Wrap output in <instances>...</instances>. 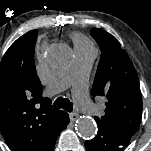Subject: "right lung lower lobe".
Instances as JSON below:
<instances>
[{"label": "right lung lower lobe", "mask_w": 151, "mask_h": 151, "mask_svg": "<svg viewBox=\"0 0 151 151\" xmlns=\"http://www.w3.org/2000/svg\"><path fill=\"white\" fill-rule=\"evenodd\" d=\"M69 123V116L65 117L63 120H62V130H64L66 128V126L68 125ZM61 130V131H62Z\"/></svg>", "instance_id": "98d812e1"}]
</instances>
